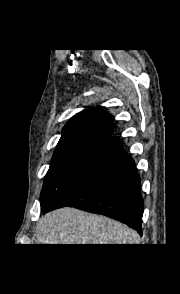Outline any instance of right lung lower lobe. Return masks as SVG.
I'll use <instances>...</instances> for the list:
<instances>
[{"label":"right lung lower lobe","mask_w":180,"mask_h":294,"mask_svg":"<svg viewBox=\"0 0 180 294\" xmlns=\"http://www.w3.org/2000/svg\"><path fill=\"white\" fill-rule=\"evenodd\" d=\"M65 206L106 215L142 234L140 177L134 160L117 137L98 146L42 213Z\"/></svg>","instance_id":"obj_1"}]
</instances>
